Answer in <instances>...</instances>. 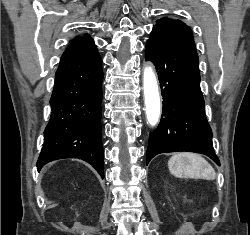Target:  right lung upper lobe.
I'll use <instances>...</instances> for the list:
<instances>
[{
	"mask_svg": "<svg viewBox=\"0 0 250 235\" xmlns=\"http://www.w3.org/2000/svg\"><path fill=\"white\" fill-rule=\"evenodd\" d=\"M88 41H92V38L89 36V34H85L84 36H77L72 41H70V44H69L68 48L72 47V46H74L76 44L83 43V42H88Z\"/></svg>",
	"mask_w": 250,
	"mask_h": 235,
	"instance_id": "1",
	"label": "right lung upper lobe"
}]
</instances>
